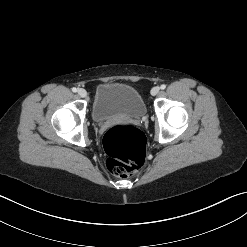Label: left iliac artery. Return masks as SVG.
Wrapping results in <instances>:
<instances>
[{
	"mask_svg": "<svg viewBox=\"0 0 247 247\" xmlns=\"http://www.w3.org/2000/svg\"><path fill=\"white\" fill-rule=\"evenodd\" d=\"M160 88H161L162 90H164V89L166 88V85H165V84H162V85L160 86Z\"/></svg>",
	"mask_w": 247,
	"mask_h": 247,
	"instance_id": "left-iliac-artery-1",
	"label": "left iliac artery"
}]
</instances>
